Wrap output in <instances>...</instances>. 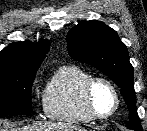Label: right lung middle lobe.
<instances>
[{"instance_id": "right-lung-middle-lobe-1", "label": "right lung middle lobe", "mask_w": 147, "mask_h": 131, "mask_svg": "<svg viewBox=\"0 0 147 131\" xmlns=\"http://www.w3.org/2000/svg\"><path fill=\"white\" fill-rule=\"evenodd\" d=\"M33 71H0V117L16 112H32Z\"/></svg>"}]
</instances>
